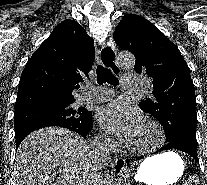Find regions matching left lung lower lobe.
<instances>
[{
    "mask_svg": "<svg viewBox=\"0 0 207 185\" xmlns=\"http://www.w3.org/2000/svg\"><path fill=\"white\" fill-rule=\"evenodd\" d=\"M169 149H176V150L183 151L189 154L190 156H192L197 162H199L198 157H197V150L191 149L185 144V142L180 141V140L167 143L166 145L161 147L159 150H157L155 153H158L164 150H169ZM141 158L143 157H138L137 160Z\"/></svg>",
    "mask_w": 207,
    "mask_h": 185,
    "instance_id": "obj_1",
    "label": "left lung lower lobe"
}]
</instances>
